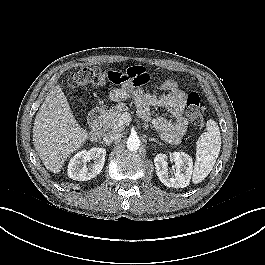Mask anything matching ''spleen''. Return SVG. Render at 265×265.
Returning <instances> with one entry per match:
<instances>
[{"instance_id":"obj_1","label":"spleen","mask_w":265,"mask_h":265,"mask_svg":"<svg viewBox=\"0 0 265 265\" xmlns=\"http://www.w3.org/2000/svg\"><path fill=\"white\" fill-rule=\"evenodd\" d=\"M206 130L196 143V162L192 176L194 184L202 182L209 175L221 148V136L217 123L214 120H208Z\"/></svg>"}]
</instances>
